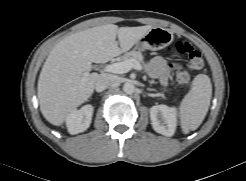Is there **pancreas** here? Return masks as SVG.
<instances>
[{"label":"pancreas","mask_w":246,"mask_h":181,"mask_svg":"<svg viewBox=\"0 0 246 181\" xmlns=\"http://www.w3.org/2000/svg\"><path fill=\"white\" fill-rule=\"evenodd\" d=\"M130 59H133V60L137 61L140 64V63H143V59L144 58H143V55H142L141 52L135 51V50L127 52L126 54L121 56V60L122 61L130 60Z\"/></svg>","instance_id":"cf45deb5"}]
</instances>
